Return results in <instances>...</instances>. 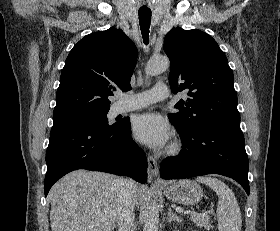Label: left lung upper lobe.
Listing matches in <instances>:
<instances>
[{
    "mask_svg": "<svg viewBox=\"0 0 280 231\" xmlns=\"http://www.w3.org/2000/svg\"><path fill=\"white\" fill-rule=\"evenodd\" d=\"M163 48L171 63L173 93L188 91L187 100L175 105L179 112L168 114L178 131L214 122L240 123L233 72L210 35L173 28L165 36Z\"/></svg>",
    "mask_w": 280,
    "mask_h": 231,
    "instance_id": "obj_1",
    "label": "left lung upper lobe"
}]
</instances>
